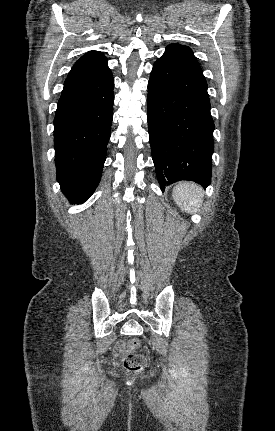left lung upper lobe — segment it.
I'll list each match as a JSON object with an SVG mask.
<instances>
[{"mask_svg": "<svg viewBox=\"0 0 275 431\" xmlns=\"http://www.w3.org/2000/svg\"><path fill=\"white\" fill-rule=\"evenodd\" d=\"M173 45H177V46H179V47H182V48H184V49H186L188 52H190L192 55H193V52H192V50L189 48V47H187V46H182V45H179V44H173ZM193 57L195 58V56L193 55ZM196 59V58H195Z\"/></svg>", "mask_w": 275, "mask_h": 431, "instance_id": "left-lung-upper-lobe-1", "label": "left lung upper lobe"}]
</instances>
